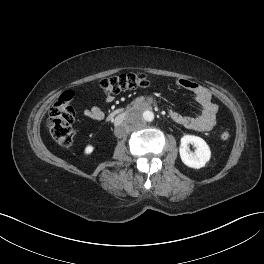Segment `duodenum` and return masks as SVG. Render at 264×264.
<instances>
[{"instance_id":"duodenum-1","label":"duodenum","mask_w":264,"mask_h":264,"mask_svg":"<svg viewBox=\"0 0 264 264\" xmlns=\"http://www.w3.org/2000/svg\"><path fill=\"white\" fill-rule=\"evenodd\" d=\"M151 102H152V100H150V99H146V100H143V101H139L137 103V109L145 110L147 108H150ZM125 115H126V112L125 111H123L121 109H116V110H113L109 114V119H114V117H116V116H122V117H124Z\"/></svg>"}]
</instances>
